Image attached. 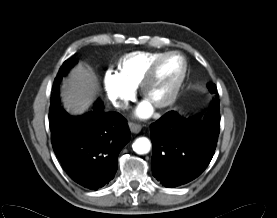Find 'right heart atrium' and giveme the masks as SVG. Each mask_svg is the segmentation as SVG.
Listing matches in <instances>:
<instances>
[{"mask_svg": "<svg viewBox=\"0 0 277 218\" xmlns=\"http://www.w3.org/2000/svg\"><path fill=\"white\" fill-rule=\"evenodd\" d=\"M103 83L108 99L117 108L125 107L134 95V89L128 86L113 70L106 71Z\"/></svg>", "mask_w": 277, "mask_h": 218, "instance_id": "1", "label": "right heart atrium"}]
</instances>
